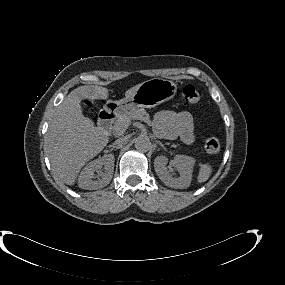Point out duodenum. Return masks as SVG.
I'll return each mask as SVG.
<instances>
[{
  "label": "duodenum",
  "instance_id": "obj_1",
  "mask_svg": "<svg viewBox=\"0 0 285 285\" xmlns=\"http://www.w3.org/2000/svg\"><path fill=\"white\" fill-rule=\"evenodd\" d=\"M116 116V112L114 110L103 111L99 117V128L103 132H107Z\"/></svg>",
  "mask_w": 285,
  "mask_h": 285
}]
</instances>
